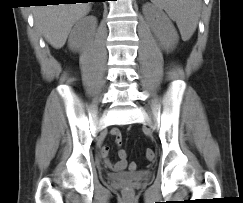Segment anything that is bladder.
I'll list each match as a JSON object with an SVG mask.
<instances>
[{
  "label": "bladder",
  "mask_w": 243,
  "mask_h": 203,
  "mask_svg": "<svg viewBox=\"0 0 243 203\" xmlns=\"http://www.w3.org/2000/svg\"><path fill=\"white\" fill-rule=\"evenodd\" d=\"M152 176L151 171L142 170L138 172L109 173L108 178L114 182H137L149 180Z\"/></svg>",
  "instance_id": "bladder-1"
}]
</instances>
